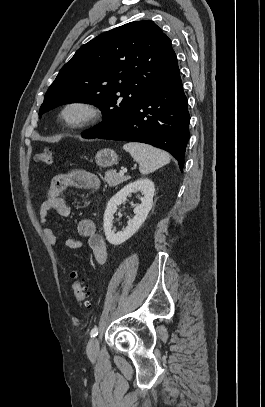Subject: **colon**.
Segmentation results:
<instances>
[{
  "mask_svg": "<svg viewBox=\"0 0 265 407\" xmlns=\"http://www.w3.org/2000/svg\"><path fill=\"white\" fill-rule=\"evenodd\" d=\"M35 161L41 164H52L54 161V152L51 149H44L35 156ZM73 292L76 302L84 307L90 308L89 292L84 280L81 278L79 270L72 272Z\"/></svg>",
  "mask_w": 265,
  "mask_h": 407,
  "instance_id": "colon-1",
  "label": "colon"
}]
</instances>
